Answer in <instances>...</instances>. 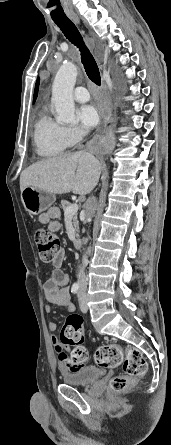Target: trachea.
I'll return each instance as SVG.
<instances>
[{"mask_svg": "<svg viewBox=\"0 0 171 445\" xmlns=\"http://www.w3.org/2000/svg\"><path fill=\"white\" fill-rule=\"evenodd\" d=\"M54 22L62 30L66 38L80 49L81 60L89 79L96 85H100L101 77L98 65L90 51L86 48L77 27L69 19L54 20Z\"/></svg>", "mask_w": 171, "mask_h": 445, "instance_id": "obj_1", "label": "trachea"}]
</instances>
